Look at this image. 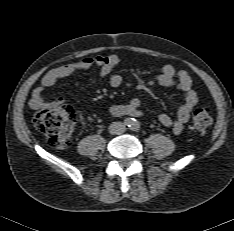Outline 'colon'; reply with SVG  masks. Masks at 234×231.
<instances>
[{
    "instance_id": "5ec220e1",
    "label": "colon",
    "mask_w": 234,
    "mask_h": 231,
    "mask_svg": "<svg viewBox=\"0 0 234 231\" xmlns=\"http://www.w3.org/2000/svg\"><path fill=\"white\" fill-rule=\"evenodd\" d=\"M77 122V113L71 107L41 110L34 117L35 127L46 135L51 147L65 149L70 145L71 131ZM212 122L205 108H197L192 114L194 129L205 132Z\"/></svg>"
}]
</instances>
